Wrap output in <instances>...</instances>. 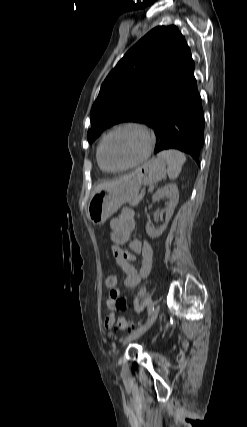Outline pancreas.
Listing matches in <instances>:
<instances>
[{"label":"pancreas","instance_id":"pancreas-1","mask_svg":"<svg viewBox=\"0 0 247 427\" xmlns=\"http://www.w3.org/2000/svg\"><path fill=\"white\" fill-rule=\"evenodd\" d=\"M143 197H144V194L141 193V194L135 196L129 203L132 206H137L139 204V202L143 199Z\"/></svg>","mask_w":247,"mask_h":427}]
</instances>
